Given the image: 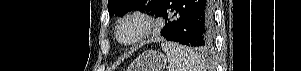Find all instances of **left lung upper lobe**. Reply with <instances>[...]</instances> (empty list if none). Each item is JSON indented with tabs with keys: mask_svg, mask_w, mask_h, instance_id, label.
Segmentation results:
<instances>
[{
	"mask_svg": "<svg viewBox=\"0 0 301 71\" xmlns=\"http://www.w3.org/2000/svg\"><path fill=\"white\" fill-rule=\"evenodd\" d=\"M163 1L164 0H108V11L110 16L115 15L122 17L133 9L142 8L156 15Z\"/></svg>",
	"mask_w": 301,
	"mask_h": 71,
	"instance_id": "left-lung-upper-lobe-1",
	"label": "left lung upper lobe"
}]
</instances>
